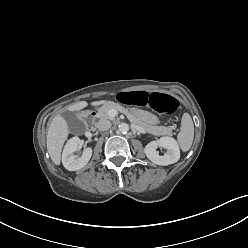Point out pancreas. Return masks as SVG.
Returning a JSON list of instances; mask_svg holds the SVG:
<instances>
[{"label":"pancreas","mask_w":248,"mask_h":248,"mask_svg":"<svg viewBox=\"0 0 248 248\" xmlns=\"http://www.w3.org/2000/svg\"><path fill=\"white\" fill-rule=\"evenodd\" d=\"M115 109L127 115L129 120L132 123H135L141 127H143L147 132L154 134V135H172V128L171 127H164V126H152L149 124L144 123L140 119H138L131 110L124 108L123 106L114 103L108 102L104 104L102 107L98 109V117L100 119H113L109 115V110Z\"/></svg>","instance_id":"pancreas-1"}]
</instances>
